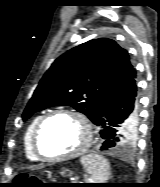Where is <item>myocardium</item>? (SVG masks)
Instances as JSON below:
<instances>
[{"mask_svg":"<svg viewBox=\"0 0 160 187\" xmlns=\"http://www.w3.org/2000/svg\"><path fill=\"white\" fill-rule=\"evenodd\" d=\"M58 115H69L76 117L82 123L85 129V139L82 145L77 148L76 150L68 153V154H60V155H47L45 154L40 147V136L41 132L45 126V124L53 117ZM93 138V129L92 124L88 117L80 111L74 109H58L51 112L46 113L43 115L40 120L37 122L32 136V146L35 154L39 157V159L45 162H58L69 160L72 158H76L84 154L90 147Z\"/></svg>","mask_w":160,"mask_h":187,"instance_id":"f54148a6","label":"myocardium"}]
</instances>
